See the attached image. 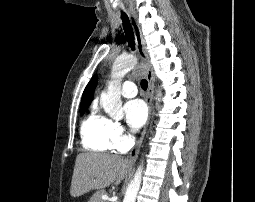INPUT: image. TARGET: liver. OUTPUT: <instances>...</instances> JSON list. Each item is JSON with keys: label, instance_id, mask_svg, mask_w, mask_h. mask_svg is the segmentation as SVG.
<instances>
[{"label": "liver", "instance_id": "liver-1", "mask_svg": "<svg viewBox=\"0 0 255 202\" xmlns=\"http://www.w3.org/2000/svg\"><path fill=\"white\" fill-rule=\"evenodd\" d=\"M130 171L128 160L120 155L82 153L77 155L70 194L79 197L90 190L115 182L118 185Z\"/></svg>", "mask_w": 255, "mask_h": 202}]
</instances>
